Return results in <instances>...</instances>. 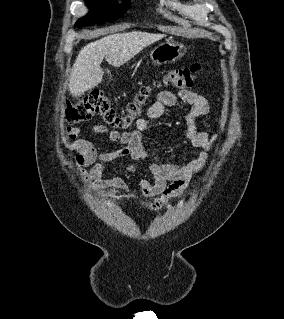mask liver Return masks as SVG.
I'll return each mask as SVG.
<instances>
[{
    "instance_id": "6515ba94",
    "label": "liver",
    "mask_w": 284,
    "mask_h": 319,
    "mask_svg": "<svg viewBox=\"0 0 284 319\" xmlns=\"http://www.w3.org/2000/svg\"><path fill=\"white\" fill-rule=\"evenodd\" d=\"M164 34L142 31L114 33L84 46L71 70L69 92L80 97L102 82L101 63L105 58L113 67H120L145 47L164 38Z\"/></svg>"
}]
</instances>
